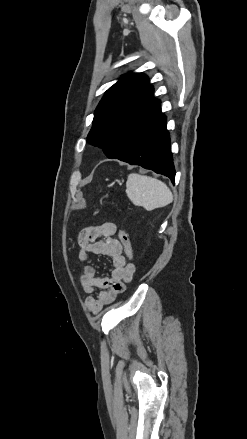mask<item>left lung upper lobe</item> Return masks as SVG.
Here are the masks:
<instances>
[{
    "label": "left lung upper lobe",
    "mask_w": 247,
    "mask_h": 439,
    "mask_svg": "<svg viewBox=\"0 0 247 439\" xmlns=\"http://www.w3.org/2000/svg\"><path fill=\"white\" fill-rule=\"evenodd\" d=\"M153 93L146 75H123L96 108L88 142L102 148L108 158L122 161L137 133L160 109Z\"/></svg>",
    "instance_id": "1"
}]
</instances>
